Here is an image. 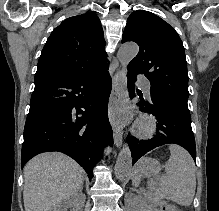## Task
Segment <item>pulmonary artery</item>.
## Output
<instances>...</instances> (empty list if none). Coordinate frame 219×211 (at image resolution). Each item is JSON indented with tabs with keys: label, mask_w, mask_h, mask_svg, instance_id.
I'll use <instances>...</instances> for the list:
<instances>
[{
	"label": "pulmonary artery",
	"mask_w": 219,
	"mask_h": 211,
	"mask_svg": "<svg viewBox=\"0 0 219 211\" xmlns=\"http://www.w3.org/2000/svg\"><path fill=\"white\" fill-rule=\"evenodd\" d=\"M142 87H143V90H144L145 94L147 96H149L150 95V85H149V83H147V82L143 83Z\"/></svg>",
	"instance_id": "e3ab8cb5"
}]
</instances>
